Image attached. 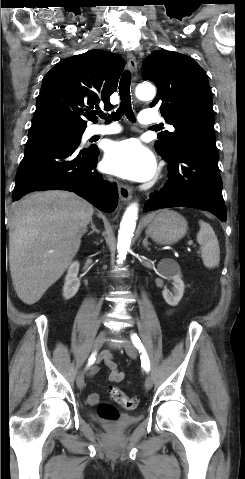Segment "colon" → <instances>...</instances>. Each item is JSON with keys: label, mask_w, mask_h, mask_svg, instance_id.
I'll list each match as a JSON object with an SVG mask.
<instances>
[{"label": "colon", "mask_w": 245, "mask_h": 479, "mask_svg": "<svg viewBox=\"0 0 245 479\" xmlns=\"http://www.w3.org/2000/svg\"><path fill=\"white\" fill-rule=\"evenodd\" d=\"M109 395L115 403L124 409H133L137 404L135 398L129 397L118 387H110ZM98 415L104 419L115 420L118 417V412L113 406L104 403L99 406Z\"/></svg>", "instance_id": "obj_1"}]
</instances>
